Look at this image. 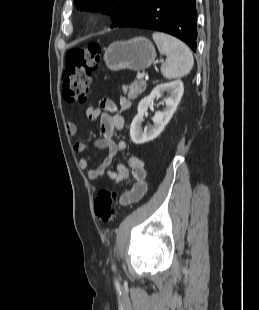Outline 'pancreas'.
<instances>
[{
  "instance_id": "1",
  "label": "pancreas",
  "mask_w": 259,
  "mask_h": 310,
  "mask_svg": "<svg viewBox=\"0 0 259 310\" xmlns=\"http://www.w3.org/2000/svg\"><path fill=\"white\" fill-rule=\"evenodd\" d=\"M146 89L145 81H134L130 86L123 85L122 91L128 93V99L134 100Z\"/></svg>"
}]
</instances>
